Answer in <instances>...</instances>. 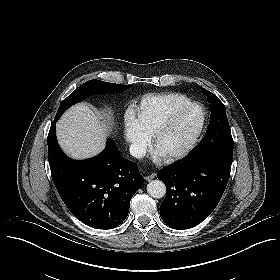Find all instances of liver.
I'll return each instance as SVG.
<instances>
[{
    "instance_id": "obj_1",
    "label": "liver",
    "mask_w": 280,
    "mask_h": 280,
    "mask_svg": "<svg viewBox=\"0 0 280 280\" xmlns=\"http://www.w3.org/2000/svg\"><path fill=\"white\" fill-rule=\"evenodd\" d=\"M108 126L86 103L70 107L58 120L56 134L60 147L71 158L82 160L103 151Z\"/></svg>"
}]
</instances>
